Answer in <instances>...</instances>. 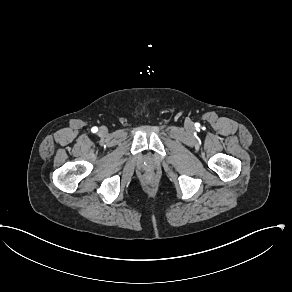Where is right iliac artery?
<instances>
[{"mask_svg":"<svg viewBox=\"0 0 292 292\" xmlns=\"http://www.w3.org/2000/svg\"><path fill=\"white\" fill-rule=\"evenodd\" d=\"M97 131H98V128H97V127H93V128H92V132H93V133H96Z\"/></svg>","mask_w":292,"mask_h":292,"instance_id":"obj_1","label":"right iliac artery"}]
</instances>
